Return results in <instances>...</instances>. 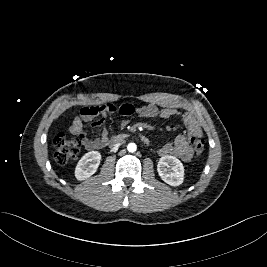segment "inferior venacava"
Listing matches in <instances>:
<instances>
[{
  "instance_id": "obj_1",
  "label": "inferior vena cava",
  "mask_w": 267,
  "mask_h": 267,
  "mask_svg": "<svg viewBox=\"0 0 267 267\" xmlns=\"http://www.w3.org/2000/svg\"><path fill=\"white\" fill-rule=\"evenodd\" d=\"M124 144V140L122 139H119V140H116L114 141L113 143L110 144V147L113 148V149H118V147L120 145Z\"/></svg>"
}]
</instances>
